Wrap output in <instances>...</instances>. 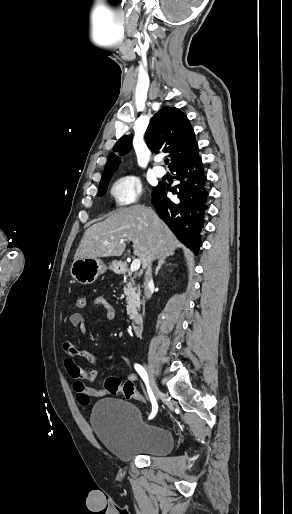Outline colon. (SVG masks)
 Listing matches in <instances>:
<instances>
[{
    "instance_id": "colon-1",
    "label": "colon",
    "mask_w": 292,
    "mask_h": 514,
    "mask_svg": "<svg viewBox=\"0 0 292 514\" xmlns=\"http://www.w3.org/2000/svg\"><path fill=\"white\" fill-rule=\"evenodd\" d=\"M86 302L87 300L84 294L77 295L73 303V309L82 310L86 306ZM103 387L113 394L123 395L125 399H134L142 403L146 402V399L141 394L136 392V387L134 384H125L117 377L109 376L105 378L103 380Z\"/></svg>"
}]
</instances>
